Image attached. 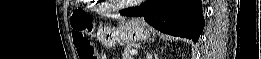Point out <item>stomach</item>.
Returning <instances> with one entry per match:
<instances>
[{"mask_svg":"<svg viewBox=\"0 0 261 59\" xmlns=\"http://www.w3.org/2000/svg\"><path fill=\"white\" fill-rule=\"evenodd\" d=\"M151 28L139 19L121 20L117 26H102L97 37L106 48H113L117 44H132L147 40L151 36Z\"/></svg>","mask_w":261,"mask_h":59,"instance_id":"1","label":"stomach"}]
</instances>
